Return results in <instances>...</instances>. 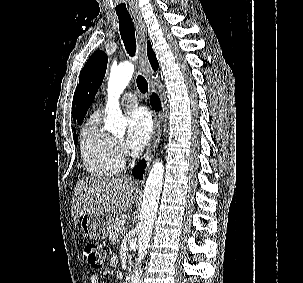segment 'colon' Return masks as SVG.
I'll use <instances>...</instances> for the list:
<instances>
[{
  "mask_svg": "<svg viewBox=\"0 0 303 283\" xmlns=\"http://www.w3.org/2000/svg\"><path fill=\"white\" fill-rule=\"evenodd\" d=\"M109 255L110 249L103 243L88 242L82 247V257L93 269L100 268Z\"/></svg>",
  "mask_w": 303,
  "mask_h": 283,
  "instance_id": "obj_1",
  "label": "colon"
}]
</instances>
